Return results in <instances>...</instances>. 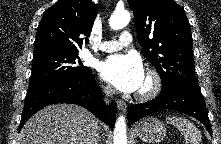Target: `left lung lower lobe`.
I'll use <instances>...</instances> for the list:
<instances>
[{
    "label": "left lung lower lobe",
    "instance_id": "left-lung-lower-lobe-1",
    "mask_svg": "<svg viewBox=\"0 0 221 144\" xmlns=\"http://www.w3.org/2000/svg\"><path fill=\"white\" fill-rule=\"evenodd\" d=\"M164 109L179 111L196 118L211 134V125L201 90L183 85L162 89L155 99L132 106L128 113V124L131 126L139 119Z\"/></svg>",
    "mask_w": 221,
    "mask_h": 144
}]
</instances>
